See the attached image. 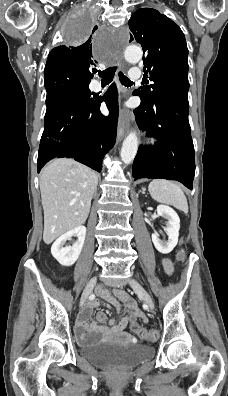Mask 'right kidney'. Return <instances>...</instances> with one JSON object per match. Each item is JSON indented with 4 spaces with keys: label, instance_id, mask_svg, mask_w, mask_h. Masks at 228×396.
Segmentation results:
<instances>
[{
    "label": "right kidney",
    "instance_id": "obj_1",
    "mask_svg": "<svg viewBox=\"0 0 228 396\" xmlns=\"http://www.w3.org/2000/svg\"><path fill=\"white\" fill-rule=\"evenodd\" d=\"M73 236L78 239L72 246H64ZM86 236V227L78 226L61 235L52 245L51 254L62 266L73 265L80 256Z\"/></svg>",
    "mask_w": 228,
    "mask_h": 396
}]
</instances>
